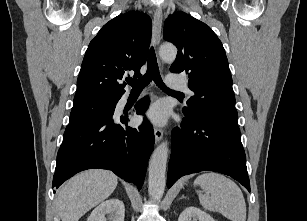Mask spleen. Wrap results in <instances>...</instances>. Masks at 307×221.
<instances>
[{
  "label": "spleen",
  "instance_id": "1",
  "mask_svg": "<svg viewBox=\"0 0 307 221\" xmlns=\"http://www.w3.org/2000/svg\"><path fill=\"white\" fill-rule=\"evenodd\" d=\"M195 185L210 193L197 191L203 208L219 212L231 221H246L245 199L235 182L222 174L206 172L196 178Z\"/></svg>",
  "mask_w": 307,
  "mask_h": 221
}]
</instances>
